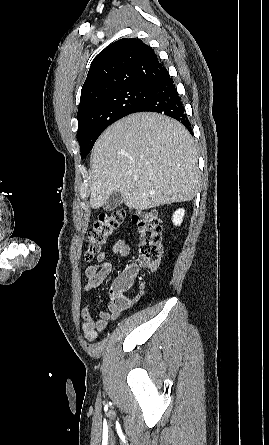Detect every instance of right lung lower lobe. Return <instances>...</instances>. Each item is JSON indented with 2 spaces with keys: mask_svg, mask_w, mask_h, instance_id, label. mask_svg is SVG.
Instances as JSON below:
<instances>
[{
  "mask_svg": "<svg viewBox=\"0 0 269 445\" xmlns=\"http://www.w3.org/2000/svg\"><path fill=\"white\" fill-rule=\"evenodd\" d=\"M152 88L150 98L142 102L133 113L150 111L165 114L181 122L192 134L182 100L168 71L152 85Z\"/></svg>",
  "mask_w": 269,
  "mask_h": 445,
  "instance_id": "right-lung-lower-lobe-1",
  "label": "right lung lower lobe"
}]
</instances>
